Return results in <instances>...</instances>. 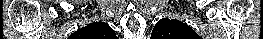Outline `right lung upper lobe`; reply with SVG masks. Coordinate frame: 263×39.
Here are the masks:
<instances>
[{"instance_id":"obj_1","label":"right lung upper lobe","mask_w":263,"mask_h":39,"mask_svg":"<svg viewBox=\"0 0 263 39\" xmlns=\"http://www.w3.org/2000/svg\"><path fill=\"white\" fill-rule=\"evenodd\" d=\"M74 36L83 39H115L116 35L113 29L104 22H93L88 26L76 31Z\"/></svg>"}]
</instances>
